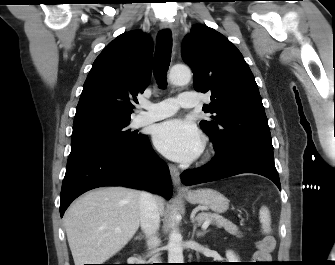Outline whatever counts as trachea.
<instances>
[{
	"instance_id": "trachea-1",
	"label": "trachea",
	"mask_w": 335,
	"mask_h": 265,
	"mask_svg": "<svg viewBox=\"0 0 335 265\" xmlns=\"http://www.w3.org/2000/svg\"><path fill=\"white\" fill-rule=\"evenodd\" d=\"M172 34L170 30H162L157 37V45L153 60L154 76L160 88L167 85V71L171 61Z\"/></svg>"
}]
</instances>
